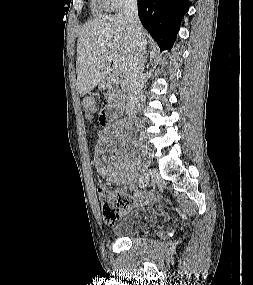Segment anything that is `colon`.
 <instances>
[{
    "instance_id": "5ec220e1",
    "label": "colon",
    "mask_w": 253,
    "mask_h": 285,
    "mask_svg": "<svg viewBox=\"0 0 253 285\" xmlns=\"http://www.w3.org/2000/svg\"><path fill=\"white\" fill-rule=\"evenodd\" d=\"M85 111L87 118L93 121L96 112L94 103L87 101ZM97 193L101 201L103 219L108 224L117 222L121 215L135 203L134 197L130 194L103 185L97 187Z\"/></svg>"
}]
</instances>
